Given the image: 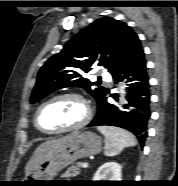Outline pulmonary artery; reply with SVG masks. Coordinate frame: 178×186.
<instances>
[{"label": "pulmonary artery", "mask_w": 178, "mask_h": 186, "mask_svg": "<svg viewBox=\"0 0 178 186\" xmlns=\"http://www.w3.org/2000/svg\"><path fill=\"white\" fill-rule=\"evenodd\" d=\"M102 76H103L104 78H108V77H109V75H108V73L106 72V70H103Z\"/></svg>", "instance_id": "pulmonary-artery-1"}]
</instances>
